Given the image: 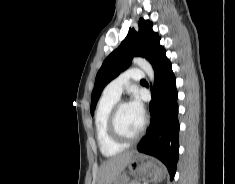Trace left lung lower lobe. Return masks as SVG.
<instances>
[{"label": "left lung lower lobe", "instance_id": "0a47b994", "mask_svg": "<svg viewBox=\"0 0 235 184\" xmlns=\"http://www.w3.org/2000/svg\"><path fill=\"white\" fill-rule=\"evenodd\" d=\"M151 64L155 72L154 101L150 102L151 124L138 145V151L162 161L172 180L178 162L180 128L175 76L161 45Z\"/></svg>", "mask_w": 235, "mask_h": 184}]
</instances>
